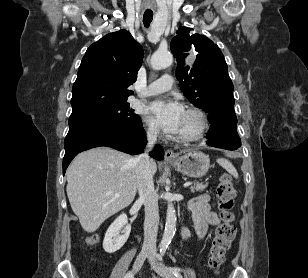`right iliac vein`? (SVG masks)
Listing matches in <instances>:
<instances>
[{"label": "right iliac vein", "instance_id": "right-iliac-vein-1", "mask_svg": "<svg viewBox=\"0 0 308 278\" xmlns=\"http://www.w3.org/2000/svg\"><path fill=\"white\" fill-rule=\"evenodd\" d=\"M150 256V253L147 251H142L141 253H139V255L136 257V260L134 262L133 265V272L137 273L140 268L142 267L144 261L146 258H148Z\"/></svg>", "mask_w": 308, "mask_h": 278}]
</instances>
